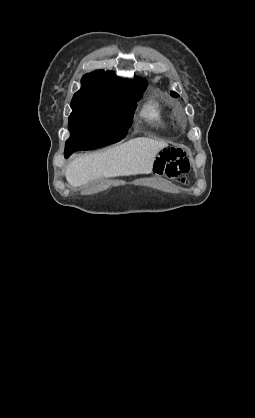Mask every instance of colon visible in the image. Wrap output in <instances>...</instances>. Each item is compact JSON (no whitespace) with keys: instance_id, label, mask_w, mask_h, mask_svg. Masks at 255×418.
I'll use <instances>...</instances> for the list:
<instances>
[{"instance_id":"colon-1","label":"colon","mask_w":255,"mask_h":418,"mask_svg":"<svg viewBox=\"0 0 255 418\" xmlns=\"http://www.w3.org/2000/svg\"><path fill=\"white\" fill-rule=\"evenodd\" d=\"M190 169L186 153L181 148H167L160 153L154 163V172L168 178H179Z\"/></svg>"}]
</instances>
